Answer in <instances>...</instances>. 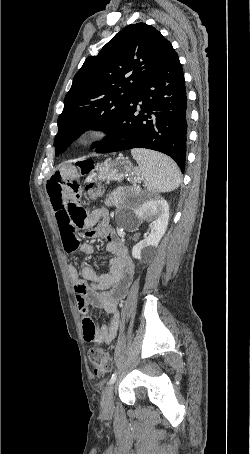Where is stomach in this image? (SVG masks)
Segmentation results:
<instances>
[{
	"label": "stomach",
	"mask_w": 250,
	"mask_h": 454,
	"mask_svg": "<svg viewBox=\"0 0 250 454\" xmlns=\"http://www.w3.org/2000/svg\"><path fill=\"white\" fill-rule=\"evenodd\" d=\"M80 172L88 173V178L101 181L120 180L128 176L130 182H138L142 174L132 167L131 162L125 158L110 159L104 163H96L92 160L80 161Z\"/></svg>",
	"instance_id": "obj_1"
}]
</instances>
